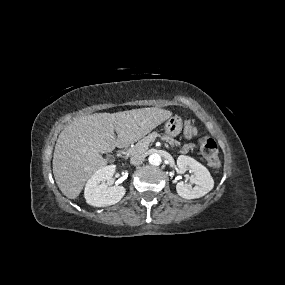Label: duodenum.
<instances>
[{
  "mask_svg": "<svg viewBox=\"0 0 285 285\" xmlns=\"http://www.w3.org/2000/svg\"><path fill=\"white\" fill-rule=\"evenodd\" d=\"M121 152H122V149L119 150V153H121Z\"/></svg>",
  "mask_w": 285,
  "mask_h": 285,
  "instance_id": "410a0bca",
  "label": "duodenum"
}]
</instances>
